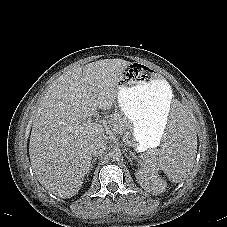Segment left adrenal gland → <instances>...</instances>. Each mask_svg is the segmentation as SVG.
<instances>
[{
  "label": "left adrenal gland",
  "instance_id": "obj_1",
  "mask_svg": "<svg viewBox=\"0 0 227 227\" xmlns=\"http://www.w3.org/2000/svg\"><path fill=\"white\" fill-rule=\"evenodd\" d=\"M130 155H131L132 159H135V160L137 159V156L133 152H130Z\"/></svg>",
  "mask_w": 227,
  "mask_h": 227
}]
</instances>
